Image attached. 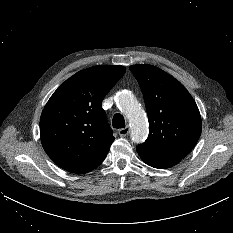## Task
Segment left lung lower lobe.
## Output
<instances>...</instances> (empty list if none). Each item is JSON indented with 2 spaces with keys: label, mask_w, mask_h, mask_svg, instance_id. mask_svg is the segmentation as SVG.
<instances>
[{
  "label": "left lung lower lobe",
  "mask_w": 233,
  "mask_h": 233,
  "mask_svg": "<svg viewBox=\"0 0 233 233\" xmlns=\"http://www.w3.org/2000/svg\"><path fill=\"white\" fill-rule=\"evenodd\" d=\"M138 154L140 155L141 159L149 166L158 168V169H165L172 167L178 164L181 159L166 157L158 154L150 153L141 147H136Z\"/></svg>",
  "instance_id": "obj_1"
}]
</instances>
